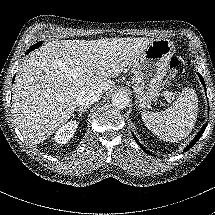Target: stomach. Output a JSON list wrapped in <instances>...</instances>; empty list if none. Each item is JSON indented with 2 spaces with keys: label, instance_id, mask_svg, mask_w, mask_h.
I'll use <instances>...</instances> for the list:
<instances>
[{
  "label": "stomach",
  "instance_id": "1",
  "mask_svg": "<svg viewBox=\"0 0 215 215\" xmlns=\"http://www.w3.org/2000/svg\"><path fill=\"white\" fill-rule=\"evenodd\" d=\"M172 55L171 41L154 39L130 65L132 91L141 107H148L160 95Z\"/></svg>",
  "mask_w": 215,
  "mask_h": 215
}]
</instances>
